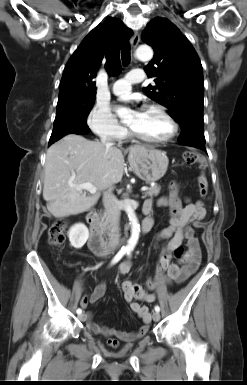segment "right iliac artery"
Returning <instances> with one entry per match:
<instances>
[{"mask_svg": "<svg viewBox=\"0 0 247 385\" xmlns=\"http://www.w3.org/2000/svg\"><path fill=\"white\" fill-rule=\"evenodd\" d=\"M126 250H120L116 255L115 257L113 258V260L111 261V265L117 263L125 254H126ZM77 314H81L82 313V310L80 308L77 309Z\"/></svg>", "mask_w": 247, "mask_h": 385, "instance_id": "right-iliac-artery-1", "label": "right iliac artery"}]
</instances>
